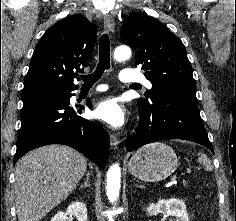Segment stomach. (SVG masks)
Listing matches in <instances>:
<instances>
[{
	"mask_svg": "<svg viewBox=\"0 0 236 221\" xmlns=\"http://www.w3.org/2000/svg\"><path fill=\"white\" fill-rule=\"evenodd\" d=\"M178 166L174 150L155 142L138 149L128 163L129 172L139 180L158 182L170 176Z\"/></svg>",
	"mask_w": 236,
	"mask_h": 221,
	"instance_id": "stomach-1",
	"label": "stomach"
}]
</instances>
